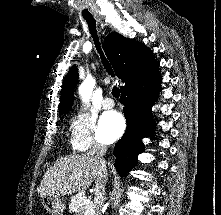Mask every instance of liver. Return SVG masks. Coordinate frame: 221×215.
Listing matches in <instances>:
<instances>
[{"label": "liver", "mask_w": 221, "mask_h": 215, "mask_svg": "<svg viewBox=\"0 0 221 215\" xmlns=\"http://www.w3.org/2000/svg\"><path fill=\"white\" fill-rule=\"evenodd\" d=\"M100 172V161L89 153L73 154L56 160L40 184L41 198L46 195H69L86 190ZM107 179V169L105 171Z\"/></svg>", "instance_id": "obj_1"}]
</instances>
